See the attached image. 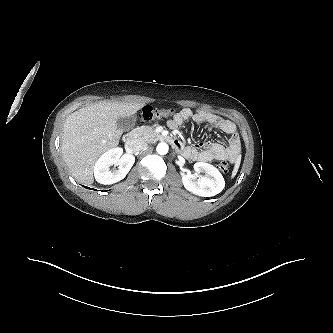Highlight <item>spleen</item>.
Returning <instances> with one entry per match:
<instances>
[{"mask_svg":"<svg viewBox=\"0 0 333 333\" xmlns=\"http://www.w3.org/2000/svg\"><path fill=\"white\" fill-rule=\"evenodd\" d=\"M239 164H240V159L238 158L236 163H235V166H234V169H233V172H232V177H234L238 171V168H239Z\"/></svg>","mask_w":333,"mask_h":333,"instance_id":"1","label":"spleen"}]
</instances>
